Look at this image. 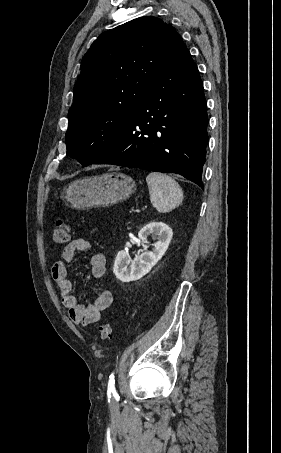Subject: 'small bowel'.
Listing matches in <instances>:
<instances>
[{"instance_id": "1", "label": "small bowel", "mask_w": 281, "mask_h": 453, "mask_svg": "<svg viewBox=\"0 0 281 453\" xmlns=\"http://www.w3.org/2000/svg\"><path fill=\"white\" fill-rule=\"evenodd\" d=\"M90 250L88 239L77 238L67 244L62 252V260H57L51 267V276L57 284L62 303L67 310L69 319L76 325L97 323L102 312L113 302V294L107 289L97 292L94 302L81 304L72 293V282L68 275L67 262L74 259L77 253H87ZM89 272L93 278H101L106 274L105 256L95 253L90 258Z\"/></svg>"}]
</instances>
